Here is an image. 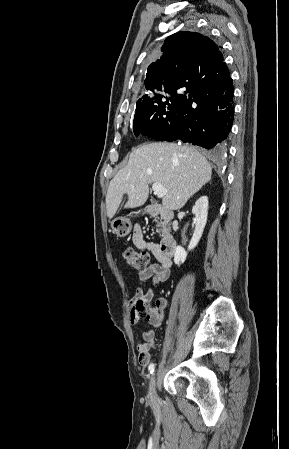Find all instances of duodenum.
Instances as JSON below:
<instances>
[{
  "mask_svg": "<svg viewBox=\"0 0 289 449\" xmlns=\"http://www.w3.org/2000/svg\"><path fill=\"white\" fill-rule=\"evenodd\" d=\"M147 213L150 215L160 216L165 223H169L173 217V212L159 205H153L148 208ZM161 253L166 257H172L176 249V240L170 231H166L159 243Z\"/></svg>",
  "mask_w": 289,
  "mask_h": 449,
  "instance_id": "410a0bca",
  "label": "duodenum"
}]
</instances>
